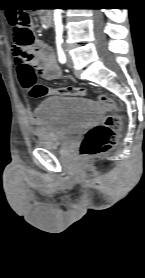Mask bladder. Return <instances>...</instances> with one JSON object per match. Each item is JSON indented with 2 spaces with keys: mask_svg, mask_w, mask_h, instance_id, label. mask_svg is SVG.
Masks as SVG:
<instances>
[{
  "mask_svg": "<svg viewBox=\"0 0 145 278\" xmlns=\"http://www.w3.org/2000/svg\"><path fill=\"white\" fill-rule=\"evenodd\" d=\"M34 112L37 124L33 130V145L48 150L59 149L100 118L95 101L73 96H46Z\"/></svg>",
  "mask_w": 145,
  "mask_h": 278,
  "instance_id": "31cf9c89",
  "label": "bladder"
}]
</instances>
